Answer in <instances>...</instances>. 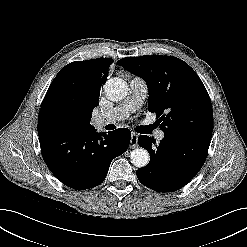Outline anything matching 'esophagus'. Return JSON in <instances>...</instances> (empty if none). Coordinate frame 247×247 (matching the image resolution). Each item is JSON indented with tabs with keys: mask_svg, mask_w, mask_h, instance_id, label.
Returning <instances> with one entry per match:
<instances>
[{
	"mask_svg": "<svg viewBox=\"0 0 247 247\" xmlns=\"http://www.w3.org/2000/svg\"><path fill=\"white\" fill-rule=\"evenodd\" d=\"M130 147L132 149H135L136 147H138V135L135 133H132V135H131Z\"/></svg>",
	"mask_w": 247,
	"mask_h": 247,
	"instance_id": "obj_1",
	"label": "esophagus"
}]
</instances>
